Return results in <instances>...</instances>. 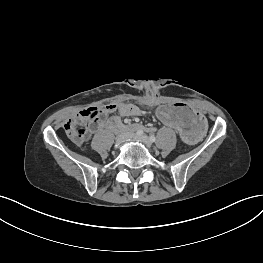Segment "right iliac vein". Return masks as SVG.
Listing matches in <instances>:
<instances>
[{"instance_id": "obj_1", "label": "right iliac vein", "mask_w": 263, "mask_h": 263, "mask_svg": "<svg viewBox=\"0 0 263 263\" xmlns=\"http://www.w3.org/2000/svg\"><path fill=\"white\" fill-rule=\"evenodd\" d=\"M132 134L131 133H126V134H123L121 136H119L116 140V144L115 146L118 147L120 146L125 140H127L129 137H131Z\"/></svg>"}]
</instances>
